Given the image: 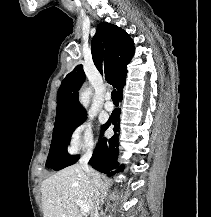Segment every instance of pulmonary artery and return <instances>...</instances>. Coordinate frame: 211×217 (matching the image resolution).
<instances>
[{"label": "pulmonary artery", "instance_id": "1", "mask_svg": "<svg viewBox=\"0 0 211 217\" xmlns=\"http://www.w3.org/2000/svg\"><path fill=\"white\" fill-rule=\"evenodd\" d=\"M104 108H105L106 111H109V112L113 111V109H114V104L111 101L110 94L106 95V101L104 103Z\"/></svg>", "mask_w": 211, "mask_h": 217}]
</instances>
